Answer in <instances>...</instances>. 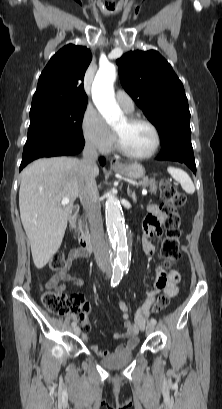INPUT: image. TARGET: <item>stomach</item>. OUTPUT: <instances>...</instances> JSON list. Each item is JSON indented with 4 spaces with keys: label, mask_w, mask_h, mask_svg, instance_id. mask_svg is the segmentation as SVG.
<instances>
[{
    "label": "stomach",
    "mask_w": 222,
    "mask_h": 409,
    "mask_svg": "<svg viewBox=\"0 0 222 409\" xmlns=\"http://www.w3.org/2000/svg\"><path fill=\"white\" fill-rule=\"evenodd\" d=\"M114 170L131 179H139L145 176L144 167L138 163L125 164L115 167Z\"/></svg>",
    "instance_id": "stomach-1"
}]
</instances>
